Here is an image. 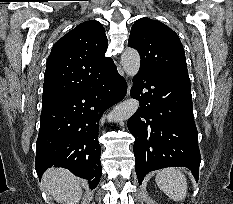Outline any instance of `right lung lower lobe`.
<instances>
[{
	"label": "right lung lower lobe",
	"mask_w": 233,
	"mask_h": 204,
	"mask_svg": "<svg viewBox=\"0 0 233 204\" xmlns=\"http://www.w3.org/2000/svg\"><path fill=\"white\" fill-rule=\"evenodd\" d=\"M126 92V81L112 65L96 83L42 109L35 164L39 178L51 166L63 167L95 188L102 174L98 122Z\"/></svg>",
	"instance_id": "1"
}]
</instances>
